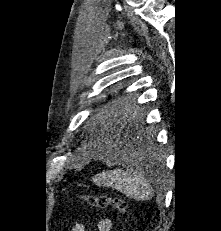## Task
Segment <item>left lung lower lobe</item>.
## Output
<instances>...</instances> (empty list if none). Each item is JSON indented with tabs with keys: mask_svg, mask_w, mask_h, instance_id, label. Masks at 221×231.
<instances>
[{
	"mask_svg": "<svg viewBox=\"0 0 221 231\" xmlns=\"http://www.w3.org/2000/svg\"><path fill=\"white\" fill-rule=\"evenodd\" d=\"M140 126L134 123L132 119L125 117L120 120L119 131L116 136L118 141H121L123 154L133 153L135 149L139 147V144L144 143L147 150H151V144L148 140L142 138V141L138 143L141 139ZM140 134V135H139ZM139 136V139H138Z\"/></svg>",
	"mask_w": 221,
	"mask_h": 231,
	"instance_id": "0a47b994",
	"label": "left lung lower lobe"
}]
</instances>
